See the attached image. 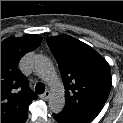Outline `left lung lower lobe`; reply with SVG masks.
<instances>
[{
	"label": "left lung lower lobe",
	"instance_id": "left-lung-lower-lobe-1",
	"mask_svg": "<svg viewBox=\"0 0 123 123\" xmlns=\"http://www.w3.org/2000/svg\"><path fill=\"white\" fill-rule=\"evenodd\" d=\"M53 117L58 123H77L61 113L53 114Z\"/></svg>",
	"mask_w": 123,
	"mask_h": 123
}]
</instances>
